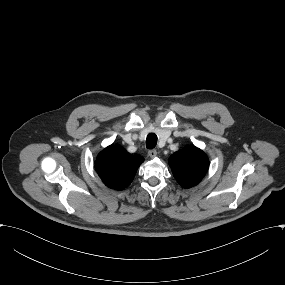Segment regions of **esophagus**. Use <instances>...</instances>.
Listing matches in <instances>:
<instances>
[{
  "instance_id": "1",
  "label": "esophagus",
  "mask_w": 285,
  "mask_h": 285,
  "mask_svg": "<svg viewBox=\"0 0 285 285\" xmlns=\"http://www.w3.org/2000/svg\"><path fill=\"white\" fill-rule=\"evenodd\" d=\"M148 155L150 156V158H154V157H156V155H157V151L155 150V149H150L149 151H148Z\"/></svg>"
}]
</instances>
